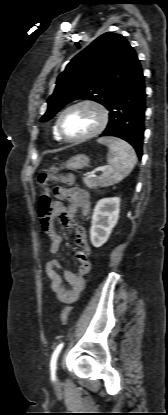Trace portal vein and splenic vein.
Returning <instances> with one entry per match:
<instances>
[{"mask_svg": "<svg viewBox=\"0 0 168 415\" xmlns=\"http://www.w3.org/2000/svg\"><path fill=\"white\" fill-rule=\"evenodd\" d=\"M105 170H106V167H101L97 171L104 172ZM97 171L90 172L88 177H96V172Z\"/></svg>", "mask_w": 168, "mask_h": 415, "instance_id": "portal-vein-and-splenic-vein-1", "label": "portal vein and splenic vein"}]
</instances>
